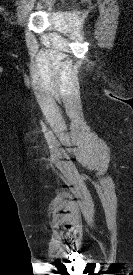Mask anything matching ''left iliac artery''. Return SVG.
Segmentation results:
<instances>
[{
  "label": "left iliac artery",
  "instance_id": "left-iliac-artery-1",
  "mask_svg": "<svg viewBox=\"0 0 133 275\" xmlns=\"http://www.w3.org/2000/svg\"><path fill=\"white\" fill-rule=\"evenodd\" d=\"M27 2H28V0H21L17 7V11L19 12Z\"/></svg>",
  "mask_w": 133,
  "mask_h": 275
}]
</instances>
